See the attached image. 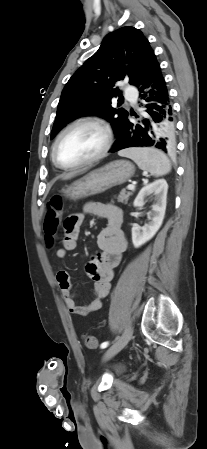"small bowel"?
<instances>
[{"mask_svg":"<svg viewBox=\"0 0 207 449\" xmlns=\"http://www.w3.org/2000/svg\"><path fill=\"white\" fill-rule=\"evenodd\" d=\"M85 213L98 216L106 221L105 228L97 238L100 252L86 265V273L94 281L91 301L85 305L77 304L68 272L60 269L56 273V281L65 305L70 313L77 316H86L101 308L102 300L109 293L114 269L119 265L127 248L125 233L122 229L123 213L118 207L101 202H90L85 208ZM84 216V213H73L64 220L61 247L55 253L58 260L65 259L67 252L76 248Z\"/></svg>","mask_w":207,"mask_h":449,"instance_id":"1","label":"small bowel"}]
</instances>
